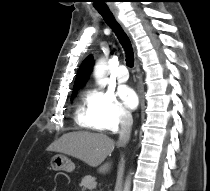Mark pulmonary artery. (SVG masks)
<instances>
[{"label":"pulmonary artery","instance_id":"1","mask_svg":"<svg viewBox=\"0 0 210 191\" xmlns=\"http://www.w3.org/2000/svg\"><path fill=\"white\" fill-rule=\"evenodd\" d=\"M116 78L119 82L123 83L128 80V70L124 65H120L116 72Z\"/></svg>","mask_w":210,"mask_h":191}]
</instances>
